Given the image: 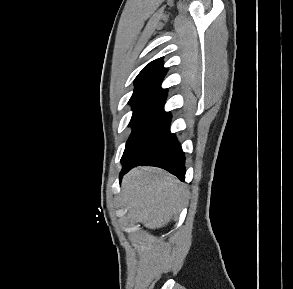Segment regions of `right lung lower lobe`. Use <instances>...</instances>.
Instances as JSON below:
<instances>
[{"label":"right lung lower lobe","mask_w":293,"mask_h":289,"mask_svg":"<svg viewBox=\"0 0 293 289\" xmlns=\"http://www.w3.org/2000/svg\"><path fill=\"white\" fill-rule=\"evenodd\" d=\"M171 116L154 127L132 147L125 149L121 158V176L137 165L163 168L185 179V156L174 134L170 132Z\"/></svg>","instance_id":"1"}]
</instances>
